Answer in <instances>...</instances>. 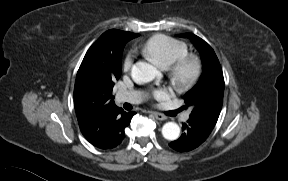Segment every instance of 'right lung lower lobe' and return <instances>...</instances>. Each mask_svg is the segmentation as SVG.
I'll list each match as a JSON object with an SVG mask.
<instances>
[{"instance_id":"right-lung-lower-lobe-1","label":"right lung lower lobe","mask_w":288,"mask_h":181,"mask_svg":"<svg viewBox=\"0 0 288 181\" xmlns=\"http://www.w3.org/2000/svg\"><path fill=\"white\" fill-rule=\"evenodd\" d=\"M134 114L135 112L126 113L125 111H121L119 117L116 120L117 137L114 144L110 148L116 147L124 139L125 137L124 130L130 124L131 118Z\"/></svg>"}]
</instances>
